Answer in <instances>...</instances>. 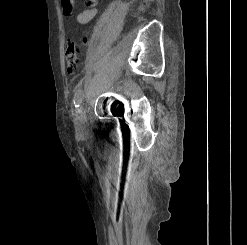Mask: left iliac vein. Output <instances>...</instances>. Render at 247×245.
I'll use <instances>...</instances> for the list:
<instances>
[{
  "label": "left iliac vein",
  "instance_id": "4c4485c4",
  "mask_svg": "<svg viewBox=\"0 0 247 245\" xmlns=\"http://www.w3.org/2000/svg\"><path fill=\"white\" fill-rule=\"evenodd\" d=\"M75 125L78 131H83L86 127L85 109L83 106H81L78 110V117L76 119Z\"/></svg>",
  "mask_w": 247,
  "mask_h": 245
}]
</instances>
